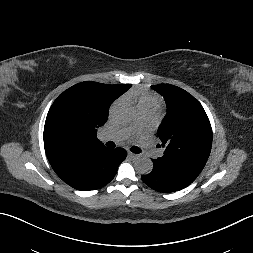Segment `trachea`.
<instances>
[{
	"label": "trachea",
	"instance_id": "trachea-1",
	"mask_svg": "<svg viewBox=\"0 0 253 253\" xmlns=\"http://www.w3.org/2000/svg\"><path fill=\"white\" fill-rule=\"evenodd\" d=\"M108 146L109 147H115V144L113 142H110V143H108ZM130 151H132L133 153H136V154L141 153V149L136 147V146L131 147Z\"/></svg>",
	"mask_w": 253,
	"mask_h": 253
}]
</instances>
